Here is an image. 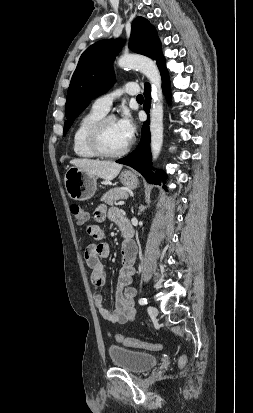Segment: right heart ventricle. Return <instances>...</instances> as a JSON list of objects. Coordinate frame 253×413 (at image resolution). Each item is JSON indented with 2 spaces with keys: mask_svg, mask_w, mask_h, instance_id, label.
<instances>
[{
  "mask_svg": "<svg viewBox=\"0 0 253 413\" xmlns=\"http://www.w3.org/2000/svg\"><path fill=\"white\" fill-rule=\"evenodd\" d=\"M104 115L105 113L92 107L80 117L72 134V147L76 156L85 159H91L98 156L88 146L87 132L90 126Z\"/></svg>",
  "mask_w": 253,
  "mask_h": 413,
  "instance_id": "1",
  "label": "right heart ventricle"
}]
</instances>
